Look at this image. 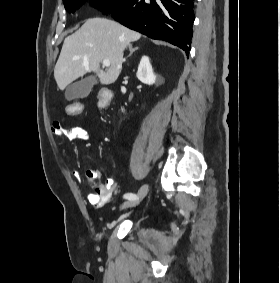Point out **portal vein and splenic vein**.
<instances>
[{
    "instance_id": "18ae733b",
    "label": "portal vein and splenic vein",
    "mask_w": 280,
    "mask_h": 283,
    "mask_svg": "<svg viewBox=\"0 0 280 283\" xmlns=\"http://www.w3.org/2000/svg\"><path fill=\"white\" fill-rule=\"evenodd\" d=\"M103 66L109 67L110 66V61L107 59H104L102 62Z\"/></svg>"
}]
</instances>
